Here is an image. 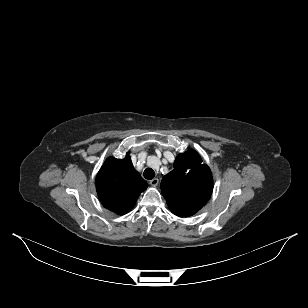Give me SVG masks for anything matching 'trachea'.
Masks as SVG:
<instances>
[{"label": "trachea", "mask_w": 308, "mask_h": 308, "mask_svg": "<svg viewBox=\"0 0 308 308\" xmlns=\"http://www.w3.org/2000/svg\"><path fill=\"white\" fill-rule=\"evenodd\" d=\"M154 177H155V172H154L153 169H151V168H146V169L144 170V178H145V179L151 180V179H153Z\"/></svg>", "instance_id": "obj_1"}]
</instances>
